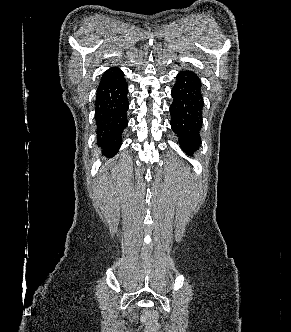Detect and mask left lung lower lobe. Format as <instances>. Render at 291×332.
Instances as JSON below:
<instances>
[{"instance_id":"obj_1","label":"left lung lower lobe","mask_w":291,"mask_h":332,"mask_svg":"<svg viewBox=\"0 0 291 332\" xmlns=\"http://www.w3.org/2000/svg\"><path fill=\"white\" fill-rule=\"evenodd\" d=\"M173 102L170 105L171 128L179 137V141L188 142L192 149L185 152L192 153L201 144L200 130L202 128L203 97L201 81L196 73L186 70L176 76V83L172 88Z\"/></svg>"}]
</instances>
